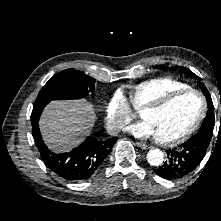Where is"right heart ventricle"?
I'll return each mask as SVG.
<instances>
[{
  "label": "right heart ventricle",
  "instance_id": "e07e8e85",
  "mask_svg": "<svg viewBox=\"0 0 221 221\" xmlns=\"http://www.w3.org/2000/svg\"><path fill=\"white\" fill-rule=\"evenodd\" d=\"M188 87L187 84L171 77H157L132 86L128 91V97L131 105L140 110L171 91Z\"/></svg>",
  "mask_w": 221,
  "mask_h": 221
}]
</instances>
